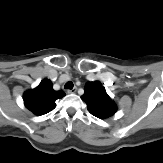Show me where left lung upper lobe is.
<instances>
[{
	"label": "left lung upper lobe",
	"instance_id": "obj_1",
	"mask_svg": "<svg viewBox=\"0 0 163 163\" xmlns=\"http://www.w3.org/2000/svg\"><path fill=\"white\" fill-rule=\"evenodd\" d=\"M84 92L81 98L87 104L88 111L92 115L105 119L114 115L117 111L115 103L100 82H87Z\"/></svg>",
	"mask_w": 163,
	"mask_h": 163
}]
</instances>
